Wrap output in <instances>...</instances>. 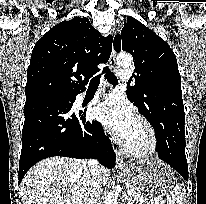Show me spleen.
<instances>
[{"instance_id": "obj_1", "label": "spleen", "mask_w": 206, "mask_h": 204, "mask_svg": "<svg viewBox=\"0 0 206 204\" xmlns=\"http://www.w3.org/2000/svg\"><path fill=\"white\" fill-rule=\"evenodd\" d=\"M185 188L183 184H177L173 190H170L167 196V204H183Z\"/></svg>"}]
</instances>
